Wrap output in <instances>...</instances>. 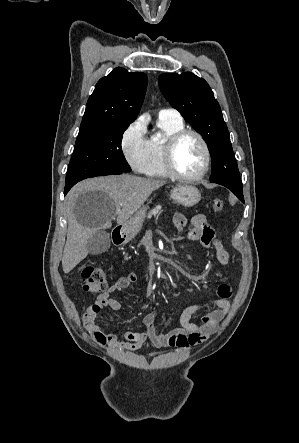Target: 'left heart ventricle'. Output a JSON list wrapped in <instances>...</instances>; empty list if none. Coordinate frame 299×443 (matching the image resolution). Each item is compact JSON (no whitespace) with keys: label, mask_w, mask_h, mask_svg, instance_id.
<instances>
[{"label":"left heart ventricle","mask_w":299,"mask_h":443,"mask_svg":"<svg viewBox=\"0 0 299 443\" xmlns=\"http://www.w3.org/2000/svg\"><path fill=\"white\" fill-rule=\"evenodd\" d=\"M174 162L178 171L184 175L192 176L201 171L204 151L195 136L189 135L181 140L175 150Z\"/></svg>","instance_id":"obj_1"}]
</instances>
